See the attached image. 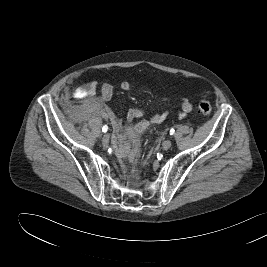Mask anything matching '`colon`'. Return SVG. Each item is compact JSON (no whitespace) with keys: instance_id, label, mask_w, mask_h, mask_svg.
Masks as SVG:
<instances>
[{"instance_id":"colon-1","label":"colon","mask_w":267,"mask_h":267,"mask_svg":"<svg viewBox=\"0 0 267 267\" xmlns=\"http://www.w3.org/2000/svg\"><path fill=\"white\" fill-rule=\"evenodd\" d=\"M198 109L203 115H209L212 111L211 104L206 97H203L198 102Z\"/></svg>"}]
</instances>
